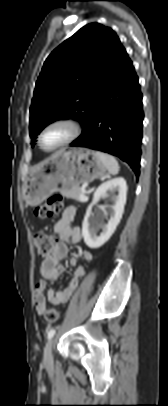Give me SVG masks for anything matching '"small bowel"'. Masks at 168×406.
I'll return each mask as SVG.
<instances>
[{"instance_id": "small-bowel-1", "label": "small bowel", "mask_w": 168, "mask_h": 406, "mask_svg": "<svg viewBox=\"0 0 168 406\" xmlns=\"http://www.w3.org/2000/svg\"><path fill=\"white\" fill-rule=\"evenodd\" d=\"M75 215V208L67 207L63 211L61 218L53 226V232L57 234L59 240L51 254L40 264L38 272L41 279L34 289V298L39 309L44 302V291L47 282L57 280L64 273L65 268L61 264V261L68 255L69 246L81 240L82 234L80 228L72 225ZM79 259L82 262H91L93 254L90 251H84L80 257L72 256L70 258V264L75 267L74 275L68 280L67 286L63 290L56 288H49L47 290L46 296L51 304L61 305L66 303L77 290L79 279L86 274L85 267L82 263H79Z\"/></svg>"}]
</instances>
